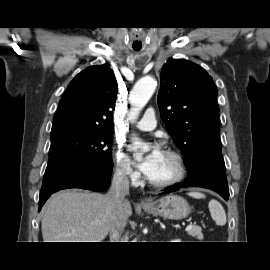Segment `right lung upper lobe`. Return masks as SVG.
Returning a JSON list of instances; mask_svg holds the SVG:
<instances>
[{"mask_svg":"<svg viewBox=\"0 0 270 270\" xmlns=\"http://www.w3.org/2000/svg\"><path fill=\"white\" fill-rule=\"evenodd\" d=\"M118 85L109 65L80 72L69 84L53 117L52 129L80 126L113 129V109Z\"/></svg>","mask_w":270,"mask_h":270,"instance_id":"obj_1","label":"right lung upper lobe"}]
</instances>
